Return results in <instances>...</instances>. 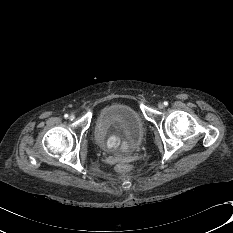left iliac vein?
Returning <instances> with one entry per match:
<instances>
[{
  "label": "left iliac vein",
  "instance_id": "obj_1",
  "mask_svg": "<svg viewBox=\"0 0 233 233\" xmlns=\"http://www.w3.org/2000/svg\"><path fill=\"white\" fill-rule=\"evenodd\" d=\"M158 108H159V109H163V108H164V104L160 102V103L158 104Z\"/></svg>",
  "mask_w": 233,
  "mask_h": 233
}]
</instances>
